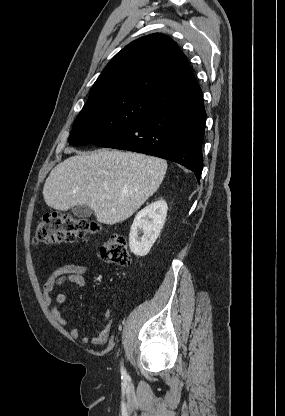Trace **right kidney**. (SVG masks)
<instances>
[{"mask_svg": "<svg viewBox=\"0 0 285 416\" xmlns=\"http://www.w3.org/2000/svg\"><path fill=\"white\" fill-rule=\"evenodd\" d=\"M168 206L165 200H157L138 212L129 234V248L135 256H147L156 242L167 216ZM143 234L138 238V234Z\"/></svg>", "mask_w": 285, "mask_h": 416, "instance_id": "ca27d5eb", "label": "right kidney"}]
</instances>
